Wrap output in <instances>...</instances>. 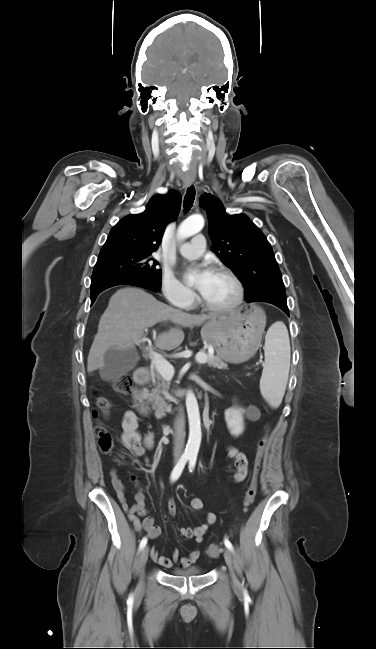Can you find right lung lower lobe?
<instances>
[{"instance_id":"right-lung-lower-lobe-1","label":"right lung lower lobe","mask_w":376,"mask_h":649,"mask_svg":"<svg viewBox=\"0 0 376 649\" xmlns=\"http://www.w3.org/2000/svg\"><path fill=\"white\" fill-rule=\"evenodd\" d=\"M122 284L142 287L153 292H158L160 290V286L145 279L120 276L105 277L100 280L91 281V304L94 303L99 293L105 289Z\"/></svg>"}]
</instances>
